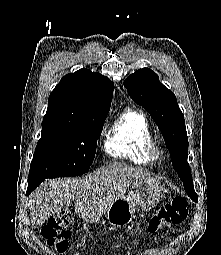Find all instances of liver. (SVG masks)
Masks as SVG:
<instances>
[{
	"instance_id": "1",
	"label": "liver",
	"mask_w": 221,
	"mask_h": 255,
	"mask_svg": "<svg viewBox=\"0 0 221 255\" xmlns=\"http://www.w3.org/2000/svg\"><path fill=\"white\" fill-rule=\"evenodd\" d=\"M149 172L120 162L83 178L47 180L29 196L32 228L41 227L64 206L75 202V212L86 222L99 223L108 208L126 193L135 180Z\"/></svg>"
}]
</instances>
